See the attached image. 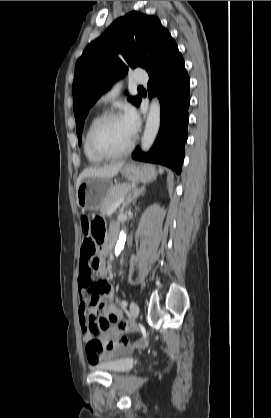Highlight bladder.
<instances>
[{
  "mask_svg": "<svg viewBox=\"0 0 271 418\" xmlns=\"http://www.w3.org/2000/svg\"><path fill=\"white\" fill-rule=\"evenodd\" d=\"M131 350L124 351L110 359L96 364L95 369L110 374H122L132 367Z\"/></svg>",
  "mask_w": 271,
  "mask_h": 418,
  "instance_id": "obj_1",
  "label": "bladder"
}]
</instances>
